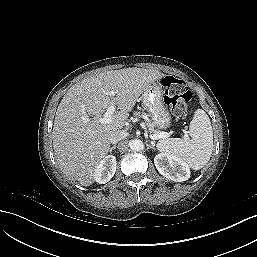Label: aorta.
<instances>
[{"label": "aorta", "instance_id": "aorta-1", "mask_svg": "<svg viewBox=\"0 0 257 257\" xmlns=\"http://www.w3.org/2000/svg\"><path fill=\"white\" fill-rule=\"evenodd\" d=\"M143 142L140 139H133L129 142V147L133 151H140L143 149Z\"/></svg>", "mask_w": 257, "mask_h": 257}]
</instances>
